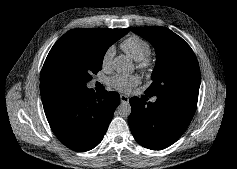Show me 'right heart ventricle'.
I'll use <instances>...</instances> for the list:
<instances>
[{
	"mask_svg": "<svg viewBox=\"0 0 237 169\" xmlns=\"http://www.w3.org/2000/svg\"><path fill=\"white\" fill-rule=\"evenodd\" d=\"M121 48L128 56L136 61L144 58L150 53L149 43L138 36H130L123 40Z\"/></svg>",
	"mask_w": 237,
	"mask_h": 169,
	"instance_id": "1",
	"label": "right heart ventricle"
}]
</instances>
